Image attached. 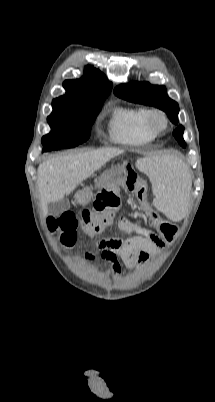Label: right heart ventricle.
Segmentation results:
<instances>
[{"instance_id":"obj_1","label":"right heart ventricle","mask_w":215,"mask_h":402,"mask_svg":"<svg viewBox=\"0 0 215 402\" xmlns=\"http://www.w3.org/2000/svg\"><path fill=\"white\" fill-rule=\"evenodd\" d=\"M146 109L136 106H116L108 123L110 140L123 146H141L152 142L155 135L144 124Z\"/></svg>"}]
</instances>
